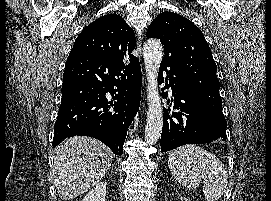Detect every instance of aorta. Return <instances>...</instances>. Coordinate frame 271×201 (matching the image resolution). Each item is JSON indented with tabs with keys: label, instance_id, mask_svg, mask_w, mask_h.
Listing matches in <instances>:
<instances>
[{
	"label": "aorta",
	"instance_id": "obj_1",
	"mask_svg": "<svg viewBox=\"0 0 271 201\" xmlns=\"http://www.w3.org/2000/svg\"><path fill=\"white\" fill-rule=\"evenodd\" d=\"M147 86V123L145 127V140L149 144L156 143L162 132L163 109L158 92V70L163 57V47L159 40L150 39L143 46Z\"/></svg>",
	"mask_w": 271,
	"mask_h": 201
}]
</instances>
